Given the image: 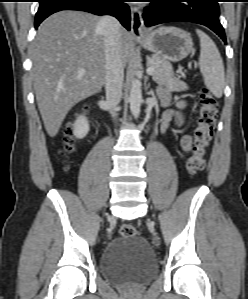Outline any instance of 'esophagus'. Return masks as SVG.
I'll return each mask as SVG.
<instances>
[{
    "instance_id": "obj_1",
    "label": "esophagus",
    "mask_w": 248,
    "mask_h": 299,
    "mask_svg": "<svg viewBox=\"0 0 248 299\" xmlns=\"http://www.w3.org/2000/svg\"><path fill=\"white\" fill-rule=\"evenodd\" d=\"M131 33L134 38H143L146 34L144 27L142 12L139 7H131Z\"/></svg>"
}]
</instances>
